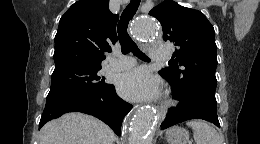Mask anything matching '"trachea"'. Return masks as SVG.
I'll use <instances>...</instances> for the list:
<instances>
[{"label": "trachea", "mask_w": 260, "mask_h": 144, "mask_svg": "<svg viewBox=\"0 0 260 144\" xmlns=\"http://www.w3.org/2000/svg\"><path fill=\"white\" fill-rule=\"evenodd\" d=\"M140 0H131L128 6L122 12L120 21L117 26V32L119 42L121 44V50L123 54L132 52L134 56L138 57L143 61H150V59L137 47L136 43L131 39L127 32L129 21L133 18L138 7Z\"/></svg>", "instance_id": "obj_1"}]
</instances>
